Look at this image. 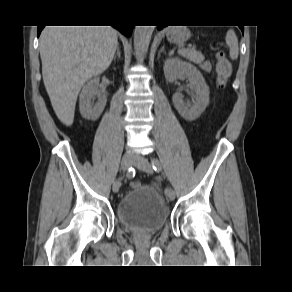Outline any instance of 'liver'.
Here are the masks:
<instances>
[{"instance_id":"liver-1","label":"liver","mask_w":292,"mask_h":292,"mask_svg":"<svg viewBox=\"0 0 292 292\" xmlns=\"http://www.w3.org/2000/svg\"><path fill=\"white\" fill-rule=\"evenodd\" d=\"M118 45L111 26H46L39 41L42 75L58 119L74 120L75 105L84 83L105 71Z\"/></svg>"}]
</instances>
